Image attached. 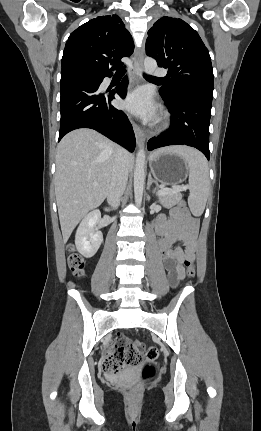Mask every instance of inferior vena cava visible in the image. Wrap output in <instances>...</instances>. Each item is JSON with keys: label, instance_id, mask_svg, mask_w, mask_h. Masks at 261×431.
I'll use <instances>...</instances> for the list:
<instances>
[{"label": "inferior vena cava", "instance_id": "inferior-vena-cava-1", "mask_svg": "<svg viewBox=\"0 0 261 431\" xmlns=\"http://www.w3.org/2000/svg\"><path fill=\"white\" fill-rule=\"evenodd\" d=\"M127 151L119 148L114 159V168L107 194V202L112 208H117L120 198L124 193L128 180V169L126 166Z\"/></svg>", "mask_w": 261, "mask_h": 431}]
</instances>
